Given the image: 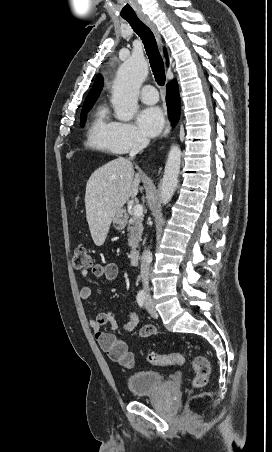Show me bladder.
I'll return each mask as SVG.
<instances>
[{
    "label": "bladder",
    "mask_w": 272,
    "mask_h": 452,
    "mask_svg": "<svg viewBox=\"0 0 272 452\" xmlns=\"http://www.w3.org/2000/svg\"><path fill=\"white\" fill-rule=\"evenodd\" d=\"M164 384L161 373L153 370L134 371L126 379L128 390L135 397L150 395Z\"/></svg>",
    "instance_id": "bladder-1"
}]
</instances>
